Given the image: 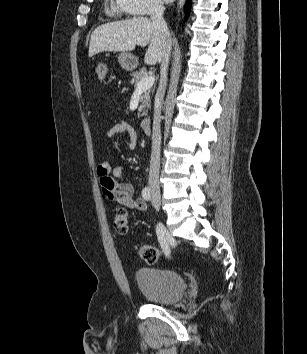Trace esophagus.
I'll list each match as a JSON object with an SVG mask.
<instances>
[{
    "label": "esophagus",
    "instance_id": "34e87169",
    "mask_svg": "<svg viewBox=\"0 0 307 354\" xmlns=\"http://www.w3.org/2000/svg\"><path fill=\"white\" fill-rule=\"evenodd\" d=\"M184 0H179V6L183 4Z\"/></svg>",
    "mask_w": 307,
    "mask_h": 354
}]
</instances>
